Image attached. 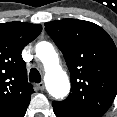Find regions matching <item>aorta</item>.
I'll return each instance as SVG.
<instances>
[{"mask_svg":"<svg viewBox=\"0 0 117 117\" xmlns=\"http://www.w3.org/2000/svg\"><path fill=\"white\" fill-rule=\"evenodd\" d=\"M36 55L45 68V81L48 92L55 99H62L69 93L70 82L59 64V57L53 45L43 41L36 45Z\"/></svg>","mask_w":117,"mask_h":117,"instance_id":"aorta-1","label":"aorta"}]
</instances>
